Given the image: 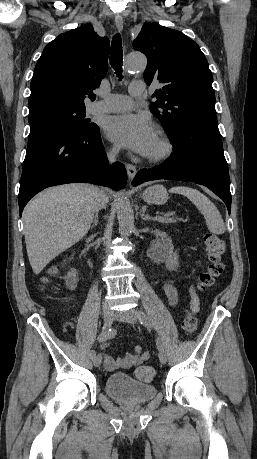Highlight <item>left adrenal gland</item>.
I'll list each match as a JSON object with an SVG mask.
<instances>
[{"instance_id": "a2214340", "label": "left adrenal gland", "mask_w": 257, "mask_h": 459, "mask_svg": "<svg viewBox=\"0 0 257 459\" xmlns=\"http://www.w3.org/2000/svg\"><path fill=\"white\" fill-rule=\"evenodd\" d=\"M145 212H146V206H143L142 209L140 210V216H141L142 220H144V221H147V220L155 221L156 220L154 217L146 214Z\"/></svg>"}]
</instances>
